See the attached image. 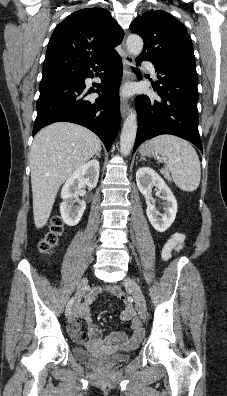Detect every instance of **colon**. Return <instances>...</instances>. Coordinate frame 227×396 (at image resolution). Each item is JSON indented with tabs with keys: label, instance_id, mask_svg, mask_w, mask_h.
<instances>
[{
	"label": "colon",
	"instance_id": "colon-1",
	"mask_svg": "<svg viewBox=\"0 0 227 396\" xmlns=\"http://www.w3.org/2000/svg\"><path fill=\"white\" fill-rule=\"evenodd\" d=\"M62 230H63V224L61 219L58 217L54 218L49 232L44 236V238L39 243V250L41 252H48L51 249H53L58 243ZM119 297L121 299H124L123 294H120Z\"/></svg>",
	"mask_w": 227,
	"mask_h": 396
}]
</instances>
